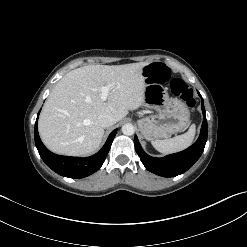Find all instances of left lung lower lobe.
I'll use <instances>...</instances> for the list:
<instances>
[{
  "label": "left lung lower lobe",
  "instance_id": "left-lung-lower-lobe-1",
  "mask_svg": "<svg viewBox=\"0 0 247 247\" xmlns=\"http://www.w3.org/2000/svg\"><path fill=\"white\" fill-rule=\"evenodd\" d=\"M201 108L203 112V123L200 136L192 146L184 151L171 154L163 158L151 157L143 151L137 136H135V149L146 169L159 176L174 177L186 172L199 159L204 151V147L207 141V119L205 115L203 99Z\"/></svg>",
  "mask_w": 247,
  "mask_h": 247
}]
</instances>
